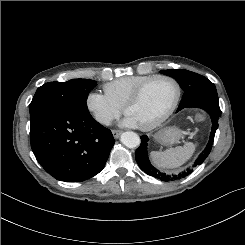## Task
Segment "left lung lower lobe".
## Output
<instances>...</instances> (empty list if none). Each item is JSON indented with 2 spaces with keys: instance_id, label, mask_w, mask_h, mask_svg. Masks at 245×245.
Instances as JSON below:
<instances>
[{
  "instance_id": "0a47b994",
  "label": "left lung lower lobe",
  "mask_w": 245,
  "mask_h": 245,
  "mask_svg": "<svg viewBox=\"0 0 245 245\" xmlns=\"http://www.w3.org/2000/svg\"><path fill=\"white\" fill-rule=\"evenodd\" d=\"M188 107H197V108L204 109L211 116L212 130H211L210 140L208 142L207 147L199 155V157L196 159V161L194 162V164L192 166H190L189 168H187V169H185L179 173L167 174V173H164V172L157 170L155 167H153L150 164V161L148 158L149 155L147 152L149 139H148L147 135H143V136H141V144L135 152V159H136L139 167L146 174L151 175L155 178L161 179L162 181L178 180V179L184 178L187 175H189L193 171V168L198 166V165H201L204 162V160L207 158V156L209 155L211 148H212L213 141H214L215 132L218 128V120H219V117L221 116L219 103L215 102V101H202V102H197V103H194L192 105H189Z\"/></svg>"
}]
</instances>
